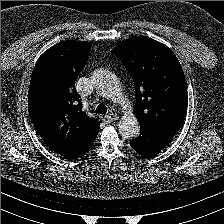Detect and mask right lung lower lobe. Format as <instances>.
<instances>
[{
    "instance_id": "98d812e1",
    "label": "right lung lower lobe",
    "mask_w": 224,
    "mask_h": 224,
    "mask_svg": "<svg viewBox=\"0 0 224 224\" xmlns=\"http://www.w3.org/2000/svg\"><path fill=\"white\" fill-rule=\"evenodd\" d=\"M95 141V140H94ZM94 141H92L88 147H86L85 149H82L80 152H78L75 156V158H78L80 156H82L88 149H90L92 147V145L94 144Z\"/></svg>"
}]
</instances>
